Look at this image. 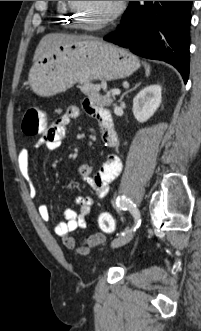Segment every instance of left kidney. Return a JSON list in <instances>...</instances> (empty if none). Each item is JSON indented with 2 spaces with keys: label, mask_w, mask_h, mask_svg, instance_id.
<instances>
[{
  "label": "left kidney",
  "mask_w": 201,
  "mask_h": 331,
  "mask_svg": "<svg viewBox=\"0 0 201 331\" xmlns=\"http://www.w3.org/2000/svg\"><path fill=\"white\" fill-rule=\"evenodd\" d=\"M160 85H150L141 90L133 99V114L140 123L154 115L161 104Z\"/></svg>",
  "instance_id": "obj_1"
}]
</instances>
